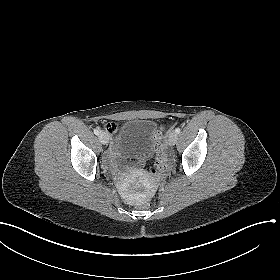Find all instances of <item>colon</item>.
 Returning a JSON list of instances; mask_svg holds the SVG:
<instances>
[{
	"mask_svg": "<svg viewBox=\"0 0 280 280\" xmlns=\"http://www.w3.org/2000/svg\"><path fill=\"white\" fill-rule=\"evenodd\" d=\"M107 130L109 132H114L115 131V126L113 124H108L107 125ZM165 167V159L164 158H159L153 168V172H160L163 168ZM140 208L142 209H147L150 208L152 206L151 201L147 200L142 202L140 205Z\"/></svg>",
	"mask_w": 280,
	"mask_h": 280,
	"instance_id": "1",
	"label": "colon"
}]
</instances>
